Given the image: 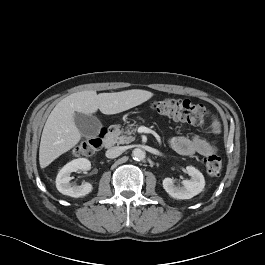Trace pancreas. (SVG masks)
<instances>
[{
  "mask_svg": "<svg viewBox=\"0 0 265 265\" xmlns=\"http://www.w3.org/2000/svg\"><path fill=\"white\" fill-rule=\"evenodd\" d=\"M115 130L113 131L114 140L117 144H129L135 140L133 134L136 132V128L133 125H130L125 131L120 129L119 126H114Z\"/></svg>",
  "mask_w": 265,
  "mask_h": 265,
  "instance_id": "1",
  "label": "pancreas"
}]
</instances>
